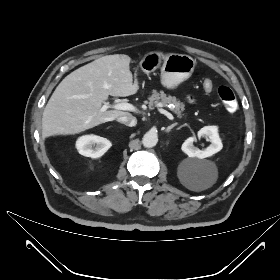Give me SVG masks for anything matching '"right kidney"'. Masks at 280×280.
<instances>
[{
  "label": "right kidney",
  "instance_id": "ca27d5eb",
  "mask_svg": "<svg viewBox=\"0 0 280 280\" xmlns=\"http://www.w3.org/2000/svg\"><path fill=\"white\" fill-rule=\"evenodd\" d=\"M111 145L108 139L96 135L81 136L76 141L79 154L91 158L101 157Z\"/></svg>",
  "mask_w": 280,
  "mask_h": 280
}]
</instances>
